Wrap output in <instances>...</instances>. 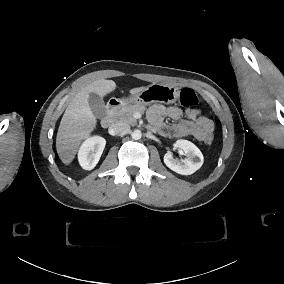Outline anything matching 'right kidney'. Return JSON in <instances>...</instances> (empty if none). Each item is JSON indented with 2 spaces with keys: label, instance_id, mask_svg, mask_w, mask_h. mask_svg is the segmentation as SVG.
Here are the masks:
<instances>
[{
  "label": "right kidney",
  "instance_id": "1",
  "mask_svg": "<svg viewBox=\"0 0 284 284\" xmlns=\"http://www.w3.org/2000/svg\"><path fill=\"white\" fill-rule=\"evenodd\" d=\"M105 144L106 140L100 136H93L86 139L78 151L80 166L85 170H92L98 163Z\"/></svg>",
  "mask_w": 284,
  "mask_h": 284
}]
</instances>
